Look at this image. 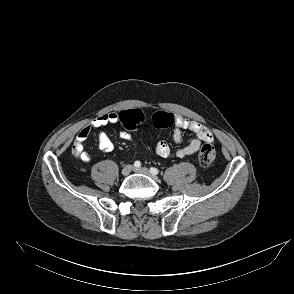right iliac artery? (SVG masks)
I'll use <instances>...</instances> for the list:
<instances>
[{"label":"right iliac artery","instance_id":"1","mask_svg":"<svg viewBox=\"0 0 294 294\" xmlns=\"http://www.w3.org/2000/svg\"><path fill=\"white\" fill-rule=\"evenodd\" d=\"M134 166L137 168V167H140L141 166V163L140 161H135L134 162Z\"/></svg>","mask_w":294,"mask_h":294}]
</instances>
